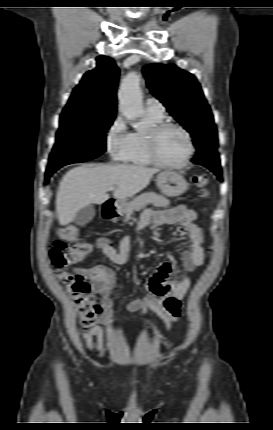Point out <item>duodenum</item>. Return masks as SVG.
<instances>
[{
    "label": "duodenum",
    "instance_id": "410a0bca",
    "mask_svg": "<svg viewBox=\"0 0 273 430\" xmlns=\"http://www.w3.org/2000/svg\"><path fill=\"white\" fill-rule=\"evenodd\" d=\"M102 215L105 219H112L117 216V210L114 204L109 203L105 205L102 211Z\"/></svg>",
    "mask_w": 273,
    "mask_h": 430
}]
</instances>
